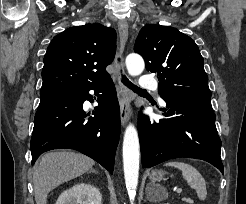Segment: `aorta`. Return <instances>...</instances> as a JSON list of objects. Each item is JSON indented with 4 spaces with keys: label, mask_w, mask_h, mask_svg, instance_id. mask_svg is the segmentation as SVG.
Listing matches in <instances>:
<instances>
[{
    "label": "aorta",
    "mask_w": 246,
    "mask_h": 204,
    "mask_svg": "<svg viewBox=\"0 0 246 204\" xmlns=\"http://www.w3.org/2000/svg\"><path fill=\"white\" fill-rule=\"evenodd\" d=\"M126 67L131 76L140 75L145 67L143 58L138 54L126 57ZM139 138L134 125L129 124L123 138V166L125 184L130 200H134L139 176Z\"/></svg>",
    "instance_id": "aorta-1"
}]
</instances>
